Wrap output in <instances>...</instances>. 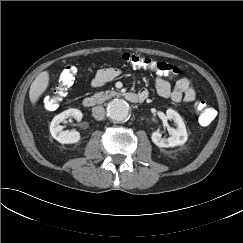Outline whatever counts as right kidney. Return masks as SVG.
Instances as JSON below:
<instances>
[{
  "label": "right kidney",
  "instance_id": "ca27d5eb",
  "mask_svg": "<svg viewBox=\"0 0 243 243\" xmlns=\"http://www.w3.org/2000/svg\"><path fill=\"white\" fill-rule=\"evenodd\" d=\"M69 117H73L74 119L80 121L82 119V112L73 108L65 110L56 115L50 124V132L52 137L61 144H73L80 140V133L78 131H64L63 126L60 125L61 122Z\"/></svg>",
  "mask_w": 243,
  "mask_h": 243
}]
</instances>
